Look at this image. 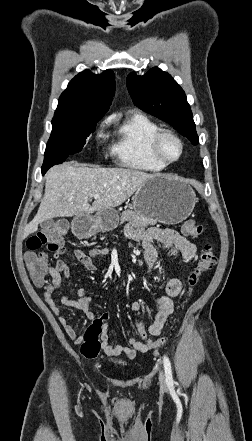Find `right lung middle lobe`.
Here are the masks:
<instances>
[{"label": "right lung middle lobe", "instance_id": "1", "mask_svg": "<svg viewBox=\"0 0 252 441\" xmlns=\"http://www.w3.org/2000/svg\"><path fill=\"white\" fill-rule=\"evenodd\" d=\"M98 121L99 119L55 115L42 169L48 170L65 161L69 155L81 151Z\"/></svg>", "mask_w": 252, "mask_h": 441}]
</instances>
